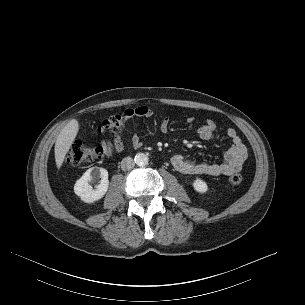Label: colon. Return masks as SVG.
Segmentation results:
<instances>
[{
    "label": "colon",
    "mask_w": 305,
    "mask_h": 305,
    "mask_svg": "<svg viewBox=\"0 0 305 305\" xmlns=\"http://www.w3.org/2000/svg\"><path fill=\"white\" fill-rule=\"evenodd\" d=\"M128 118L129 115L126 112L113 116L102 123L99 127V132L114 135L123 129ZM103 153V147H89L81 143H73L66 153L65 162L70 166L85 165L100 160ZM242 181L243 177L240 174H233L229 177L231 185H239Z\"/></svg>",
    "instance_id": "1"
}]
</instances>
